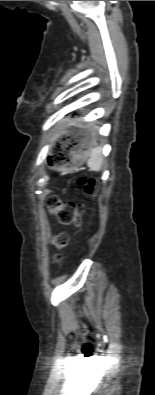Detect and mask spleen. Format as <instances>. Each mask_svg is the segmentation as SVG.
Segmentation results:
<instances>
[{
    "mask_svg": "<svg viewBox=\"0 0 155 395\" xmlns=\"http://www.w3.org/2000/svg\"><path fill=\"white\" fill-rule=\"evenodd\" d=\"M87 164L91 170L99 171L101 169L102 166L101 147L92 149Z\"/></svg>",
    "mask_w": 155,
    "mask_h": 395,
    "instance_id": "1",
    "label": "spleen"
}]
</instances>
